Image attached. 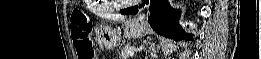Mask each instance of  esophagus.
I'll return each instance as SVG.
<instances>
[{
	"instance_id": "esophagus-1",
	"label": "esophagus",
	"mask_w": 261,
	"mask_h": 59,
	"mask_svg": "<svg viewBox=\"0 0 261 59\" xmlns=\"http://www.w3.org/2000/svg\"><path fill=\"white\" fill-rule=\"evenodd\" d=\"M147 15L144 12H140L135 18L134 21L137 23L144 24L146 22Z\"/></svg>"
}]
</instances>
